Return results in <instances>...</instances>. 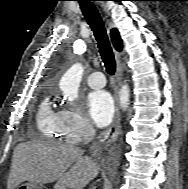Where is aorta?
Wrapping results in <instances>:
<instances>
[{
    "mask_svg": "<svg viewBox=\"0 0 188 189\" xmlns=\"http://www.w3.org/2000/svg\"><path fill=\"white\" fill-rule=\"evenodd\" d=\"M83 75V66L76 63L66 71L60 80V89L64 97L73 102L78 96V88ZM120 106L123 110L129 105V87L127 84L122 85L119 92Z\"/></svg>",
    "mask_w": 188,
    "mask_h": 189,
    "instance_id": "obj_1",
    "label": "aorta"
}]
</instances>
